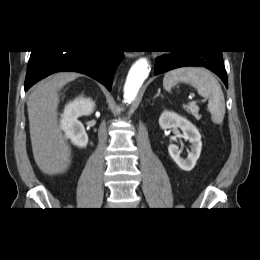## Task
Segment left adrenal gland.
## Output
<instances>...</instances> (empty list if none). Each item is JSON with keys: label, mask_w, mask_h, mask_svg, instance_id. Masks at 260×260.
<instances>
[{"label": "left adrenal gland", "mask_w": 260, "mask_h": 260, "mask_svg": "<svg viewBox=\"0 0 260 260\" xmlns=\"http://www.w3.org/2000/svg\"><path fill=\"white\" fill-rule=\"evenodd\" d=\"M160 92H161V89H158V92H157V94L154 96V99H156V98L159 97V96L163 97V96L160 94Z\"/></svg>", "instance_id": "a2214340"}]
</instances>
